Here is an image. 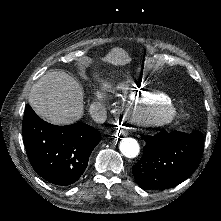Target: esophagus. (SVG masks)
I'll use <instances>...</instances> for the list:
<instances>
[{
  "instance_id": "esophagus-1",
  "label": "esophagus",
  "mask_w": 221,
  "mask_h": 221,
  "mask_svg": "<svg viewBox=\"0 0 221 221\" xmlns=\"http://www.w3.org/2000/svg\"><path fill=\"white\" fill-rule=\"evenodd\" d=\"M118 133L121 135V136H126L128 134L127 130L124 128V127H120L118 129Z\"/></svg>"
}]
</instances>
